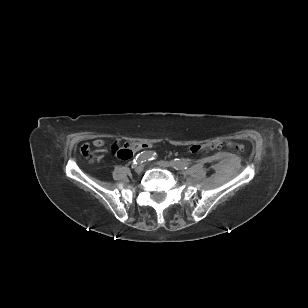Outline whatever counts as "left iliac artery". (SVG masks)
<instances>
[{
	"mask_svg": "<svg viewBox=\"0 0 308 308\" xmlns=\"http://www.w3.org/2000/svg\"><path fill=\"white\" fill-rule=\"evenodd\" d=\"M171 164L177 170L187 169L190 165L188 161L181 159H174Z\"/></svg>",
	"mask_w": 308,
	"mask_h": 308,
	"instance_id": "1",
	"label": "left iliac artery"
}]
</instances>
